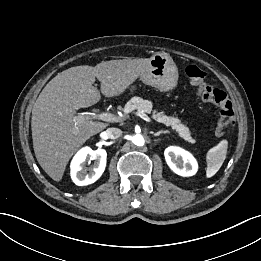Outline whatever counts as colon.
I'll return each mask as SVG.
<instances>
[{"instance_id": "colon-1", "label": "colon", "mask_w": 261, "mask_h": 261, "mask_svg": "<svg viewBox=\"0 0 261 261\" xmlns=\"http://www.w3.org/2000/svg\"><path fill=\"white\" fill-rule=\"evenodd\" d=\"M185 72L196 93L204 101L212 103L219 108L220 121L217 128L218 134H229L235 124V112L227 94L223 90L208 84L205 81L206 73L198 66L189 65Z\"/></svg>"}]
</instances>
